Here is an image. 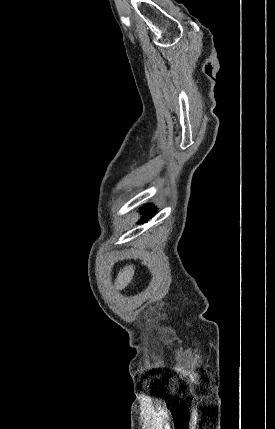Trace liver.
Segmentation results:
<instances>
[{
	"label": "liver",
	"mask_w": 275,
	"mask_h": 429,
	"mask_svg": "<svg viewBox=\"0 0 275 429\" xmlns=\"http://www.w3.org/2000/svg\"><path fill=\"white\" fill-rule=\"evenodd\" d=\"M133 275H134L133 265L125 266L122 270H120L115 280L116 288L117 289L125 288L132 280Z\"/></svg>",
	"instance_id": "obj_1"
}]
</instances>
